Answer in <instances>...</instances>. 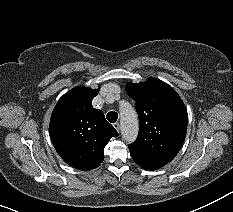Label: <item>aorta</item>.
Listing matches in <instances>:
<instances>
[{
	"instance_id": "762f6f07",
	"label": "aorta",
	"mask_w": 233,
	"mask_h": 212,
	"mask_svg": "<svg viewBox=\"0 0 233 212\" xmlns=\"http://www.w3.org/2000/svg\"><path fill=\"white\" fill-rule=\"evenodd\" d=\"M121 133L127 142L135 141L138 134V118L132 106L125 102L120 108Z\"/></svg>"
}]
</instances>
